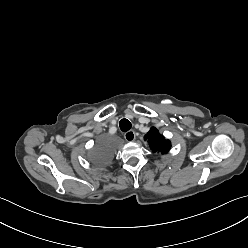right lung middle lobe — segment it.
<instances>
[{
    "label": "right lung middle lobe",
    "instance_id": "1",
    "mask_svg": "<svg viewBox=\"0 0 248 248\" xmlns=\"http://www.w3.org/2000/svg\"><path fill=\"white\" fill-rule=\"evenodd\" d=\"M89 160L95 165H104L111 159L109 147L100 142L93 150L88 153Z\"/></svg>",
    "mask_w": 248,
    "mask_h": 248
}]
</instances>
